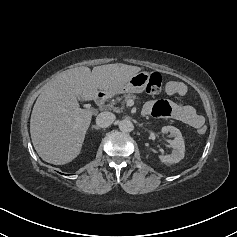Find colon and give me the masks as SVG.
Masks as SVG:
<instances>
[{
	"mask_svg": "<svg viewBox=\"0 0 237 237\" xmlns=\"http://www.w3.org/2000/svg\"><path fill=\"white\" fill-rule=\"evenodd\" d=\"M163 88L164 83L162 76L157 72L152 73L148 79L147 91L149 93H159L163 90ZM206 130H207L206 126L203 125L198 129V132L200 134H204Z\"/></svg>",
	"mask_w": 237,
	"mask_h": 237,
	"instance_id": "5ec220e1",
	"label": "colon"
}]
</instances>
